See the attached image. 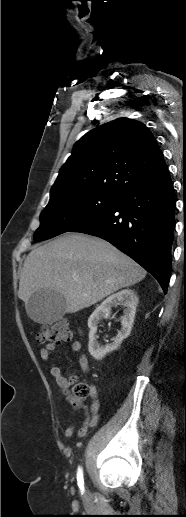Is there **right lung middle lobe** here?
Wrapping results in <instances>:
<instances>
[{
    "instance_id": "dd1d6c3e",
    "label": "right lung middle lobe",
    "mask_w": 186,
    "mask_h": 517,
    "mask_svg": "<svg viewBox=\"0 0 186 517\" xmlns=\"http://www.w3.org/2000/svg\"><path fill=\"white\" fill-rule=\"evenodd\" d=\"M119 197L101 193H77L50 199L40 215L41 224L33 238L41 241L69 232L112 207Z\"/></svg>"
}]
</instances>
